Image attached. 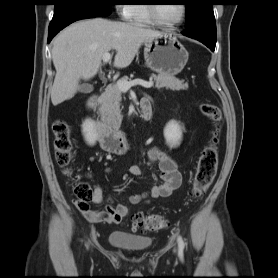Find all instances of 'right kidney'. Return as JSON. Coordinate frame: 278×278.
<instances>
[{
    "label": "right kidney",
    "mask_w": 278,
    "mask_h": 278,
    "mask_svg": "<svg viewBox=\"0 0 278 278\" xmlns=\"http://www.w3.org/2000/svg\"><path fill=\"white\" fill-rule=\"evenodd\" d=\"M82 132L87 144L93 146L97 139L93 121H91L90 119L85 120L82 125Z\"/></svg>",
    "instance_id": "obj_1"
}]
</instances>
